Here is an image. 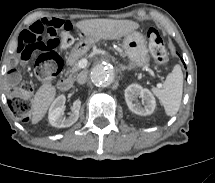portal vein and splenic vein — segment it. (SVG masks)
Segmentation results:
<instances>
[{"label": "portal vein and splenic vein", "instance_id": "1", "mask_svg": "<svg viewBox=\"0 0 215 183\" xmlns=\"http://www.w3.org/2000/svg\"><path fill=\"white\" fill-rule=\"evenodd\" d=\"M87 63H88L87 59H81V60L78 62V66H79V68L84 69V68H86Z\"/></svg>", "mask_w": 215, "mask_h": 183}]
</instances>
